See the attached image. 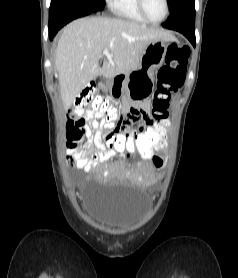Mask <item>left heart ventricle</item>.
Wrapping results in <instances>:
<instances>
[{
  "mask_svg": "<svg viewBox=\"0 0 238 278\" xmlns=\"http://www.w3.org/2000/svg\"><path fill=\"white\" fill-rule=\"evenodd\" d=\"M145 8L149 17L153 20H160L165 14L164 0H144Z\"/></svg>",
  "mask_w": 238,
  "mask_h": 278,
  "instance_id": "obj_1",
  "label": "left heart ventricle"
}]
</instances>
